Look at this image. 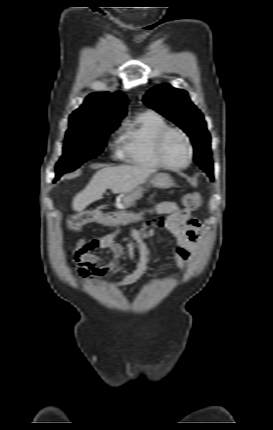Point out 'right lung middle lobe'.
<instances>
[{"label": "right lung middle lobe", "mask_w": 273, "mask_h": 430, "mask_svg": "<svg viewBox=\"0 0 273 430\" xmlns=\"http://www.w3.org/2000/svg\"><path fill=\"white\" fill-rule=\"evenodd\" d=\"M119 124L118 121L84 120L71 116L64 153L56 165V179L99 155L106 145V138Z\"/></svg>", "instance_id": "obj_1"}]
</instances>
